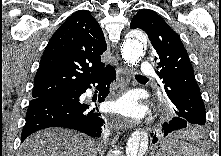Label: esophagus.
I'll use <instances>...</instances> for the list:
<instances>
[{
	"label": "esophagus",
	"instance_id": "obj_1",
	"mask_svg": "<svg viewBox=\"0 0 221 156\" xmlns=\"http://www.w3.org/2000/svg\"><path fill=\"white\" fill-rule=\"evenodd\" d=\"M117 76L121 85V89L125 90L130 83V78H131L130 71L128 70L127 67L120 65L117 68ZM126 125L127 124L125 121L118 119L115 122H113L111 126L115 128L116 130H119L125 127Z\"/></svg>",
	"mask_w": 221,
	"mask_h": 156
}]
</instances>
